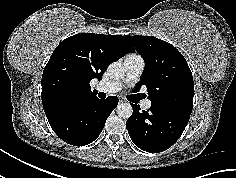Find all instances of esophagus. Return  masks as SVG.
Here are the masks:
<instances>
[{"label": "esophagus", "mask_w": 236, "mask_h": 178, "mask_svg": "<svg viewBox=\"0 0 236 178\" xmlns=\"http://www.w3.org/2000/svg\"><path fill=\"white\" fill-rule=\"evenodd\" d=\"M122 103H124V100L119 99V104H122Z\"/></svg>", "instance_id": "esophagus-1"}]
</instances>
